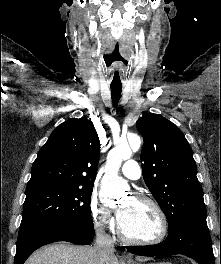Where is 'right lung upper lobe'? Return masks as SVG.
<instances>
[{"instance_id": "1", "label": "right lung upper lobe", "mask_w": 221, "mask_h": 264, "mask_svg": "<svg viewBox=\"0 0 221 264\" xmlns=\"http://www.w3.org/2000/svg\"><path fill=\"white\" fill-rule=\"evenodd\" d=\"M99 154V138L90 120L64 122L40 149L26 190L45 185L93 187Z\"/></svg>"}]
</instances>
